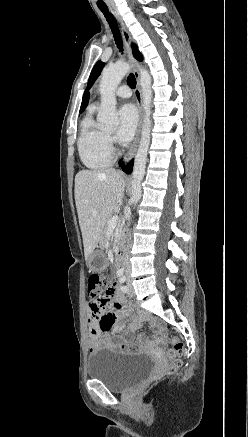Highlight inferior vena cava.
<instances>
[{
  "label": "inferior vena cava",
  "mask_w": 248,
  "mask_h": 437,
  "mask_svg": "<svg viewBox=\"0 0 248 437\" xmlns=\"http://www.w3.org/2000/svg\"><path fill=\"white\" fill-rule=\"evenodd\" d=\"M124 264H125V266H126L127 268L130 267V264H129V261H128V257L125 258V260H124Z\"/></svg>",
  "instance_id": "602c4592"
}]
</instances>
